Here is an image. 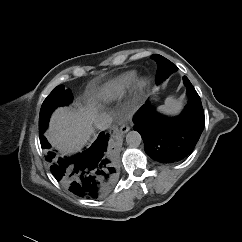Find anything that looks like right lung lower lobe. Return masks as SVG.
Returning a JSON list of instances; mask_svg holds the SVG:
<instances>
[{"mask_svg": "<svg viewBox=\"0 0 242 242\" xmlns=\"http://www.w3.org/2000/svg\"><path fill=\"white\" fill-rule=\"evenodd\" d=\"M108 138V133L101 132L88 149L72 157L58 156L44 135H40V143L57 181L79 197L97 198L111 189L116 173L106 155Z\"/></svg>", "mask_w": 242, "mask_h": 242, "instance_id": "1", "label": "right lung lower lobe"}]
</instances>
